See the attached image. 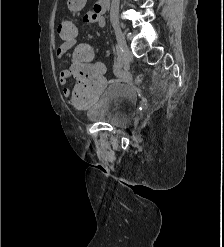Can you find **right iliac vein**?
I'll use <instances>...</instances> for the list:
<instances>
[{
  "instance_id": "63e3f726",
  "label": "right iliac vein",
  "mask_w": 224,
  "mask_h": 247,
  "mask_svg": "<svg viewBox=\"0 0 224 247\" xmlns=\"http://www.w3.org/2000/svg\"><path fill=\"white\" fill-rule=\"evenodd\" d=\"M114 31H115L116 39L118 42V46L121 50V56H122L123 60H125L127 57V54H128V46L126 43L125 36H124L121 28L118 25L114 26Z\"/></svg>"
}]
</instances>
